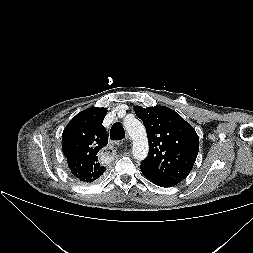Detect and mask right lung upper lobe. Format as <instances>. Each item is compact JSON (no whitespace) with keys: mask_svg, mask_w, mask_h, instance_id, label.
<instances>
[{"mask_svg":"<svg viewBox=\"0 0 253 253\" xmlns=\"http://www.w3.org/2000/svg\"><path fill=\"white\" fill-rule=\"evenodd\" d=\"M106 108L92 107L78 113L62 134V150L72 175L83 183L97 181L106 171L97 154L108 144L102 122Z\"/></svg>","mask_w":253,"mask_h":253,"instance_id":"obj_1","label":"right lung upper lobe"}]
</instances>
